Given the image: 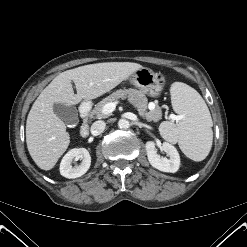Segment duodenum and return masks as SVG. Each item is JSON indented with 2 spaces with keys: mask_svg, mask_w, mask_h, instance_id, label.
Listing matches in <instances>:
<instances>
[{
  "mask_svg": "<svg viewBox=\"0 0 247 247\" xmlns=\"http://www.w3.org/2000/svg\"><path fill=\"white\" fill-rule=\"evenodd\" d=\"M91 111V105L89 103H83L80 106L81 126L80 134L82 137H88L89 135V116Z\"/></svg>",
  "mask_w": 247,
  "mask_h": 247,
  "instance_id": "410a0bca",
  "label": "duodenum"
}]
</instances>
